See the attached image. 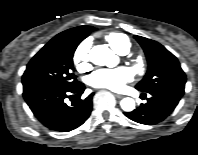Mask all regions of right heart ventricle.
Returning <instances> with one entry per match:
<instances>
[{
	"label": "right heart ventricle",
	"instance_id": "e07e8e85",
	"mask_svg": "<svg viewBox=\"0 0 198 155\" xmlns=\"http://www.w3.org/2000/svg\"><path fill=\"white\" fill-rule=\"evenodd\" d=\"M105 39L117 53L125 54L129 51L130 41L125 35L113 32L106 35Z\"/></svg>",
	"mask_w": 198,
	"mask_h": 155
}]
</instances>
